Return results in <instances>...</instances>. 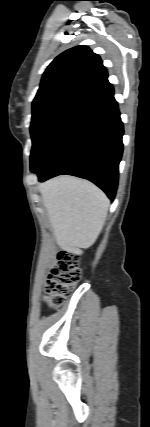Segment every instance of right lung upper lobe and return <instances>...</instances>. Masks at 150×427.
<instances>
[{"mask_svg": "<svg viewBox=\"0 0 150 427\" xmlns=\"http://www.w3.org/2000/svg\"><path fill=\"white\" fill-rule=\"evenodd\" d=\"M100 57L87 46L71 48L47 67L32 111L51 106L83 108L112 90Z\"/></svg>", "mask_w": 150, "mask_h": 427, "instance_id": "cb5924a9", "label": "right lung upper lobe"}]
</instances>
